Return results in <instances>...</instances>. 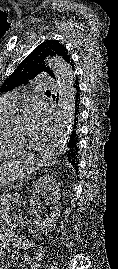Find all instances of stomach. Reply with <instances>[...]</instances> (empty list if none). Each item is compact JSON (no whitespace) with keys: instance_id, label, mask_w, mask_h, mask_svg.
Returning <instances> with one entry per match:
<instances>
[{"instance_id":"stomach-1","label":"stomach","mask_w":118,"mask_h":269,"mask_svg":"<svg viewBox=\"0 0 118 269\" xmlns=\"http://www.w3.org/2000/svg\"><path fill=\"white\" fill-rule=\"evenodd\" d=\"M38 167L39 163L33 156L24 157L0 166V190L6 184L31 175Z\"/></svg>"}]
</instances>
